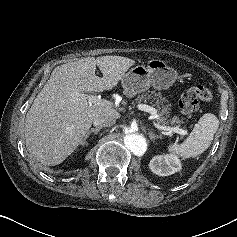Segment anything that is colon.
<instances>
[{
	"label": "colon",
	"instance_id": "1",
	"mask_svg": "<svg viewBox=\"0 0 237 237\" xmlns=\"http://www.w3.org/2000/svg\"><path fill=\"white\" fill-rule=\"evenodd\" d=\"M213 98L212 92L205 86L190 87L183 92L179 107L184 115H191L199 108V101L209 102Z\"/></svg>",
	"mask_w": 237,
	"mask_h": 237
}]
</instances>
